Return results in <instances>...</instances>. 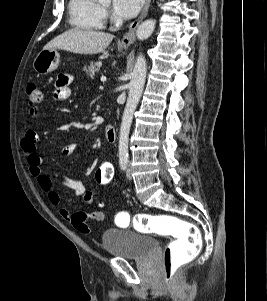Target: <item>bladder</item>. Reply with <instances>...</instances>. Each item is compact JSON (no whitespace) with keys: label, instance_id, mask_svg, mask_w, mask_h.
I'll use <instances>...</instances> for the list:
<instances>
[{"label":"bladder","instance_id":"1","mask_svg":"<svg viewBox=\"0 0 267 301\" xmlns=\"http://www.w3.org/2000/svg\"><path fill=\"white\" fill-rule=\"evenodd\" d=\"M101 241L108 254L125 259H143L158 248L156 238L119 228L106 229Z\"/></svg>","mask_w":267,"mask_h":301}]
</instances>
